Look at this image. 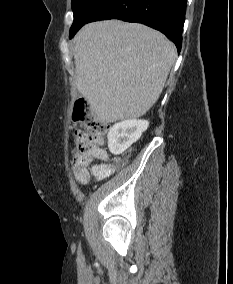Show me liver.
Wrapping results in <instances>:
<instances>
[{
    "instance_id": "liver-1",
    "label": "liver",
    "mask_w": 233,
    "mask_h": 284,
    "mask_svg": "<svg viewBox=\"0 0 233 284\" xmlns=\"http://www.w3.org/2000/svg\"><path fill=\"white\" fill-rule=\"evenodd\" d=\"M175 59V45L165 35L138 23H90L74 38L76 87L101 122L144 115Z\"/></svg>"
}]
</instances>
